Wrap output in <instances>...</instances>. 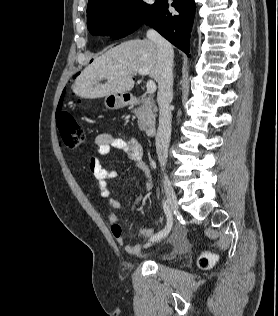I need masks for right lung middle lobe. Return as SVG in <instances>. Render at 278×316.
Segmentation results:
<instances>
[{"label":"right lung middle lobe","mask_w":278,"mask_h":316,"mask_svg":"<svg viewBox=\"0 0 278 316\" xmlns=\"http://www.w3.org/2000/svg\"><path fill=\"white\" fill-rule=\"evenodd\" d=\"M156 4L149 5L142 0H109L87 11V27L93 35L118 39L145 23Z\"/></svg>","instance_id":"dd1d6c3e"}]
</instances>
